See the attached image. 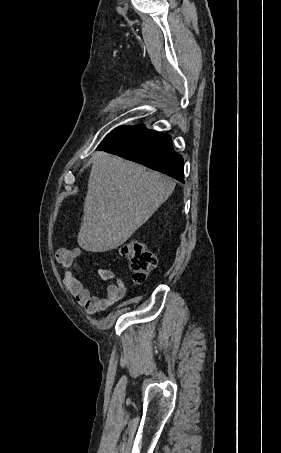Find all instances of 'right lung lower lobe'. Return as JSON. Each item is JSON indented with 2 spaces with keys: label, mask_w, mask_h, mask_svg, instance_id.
<instances>
[{
  "label": "right lung lower lobe",
  "mask_w": 281,
  "mask_h": 453,
  "mask_svg": "<svg viewBox=\"0 0 281 453\" xmlns=\"http://www.w3.org/2000/svg\"><path fill=\"white\" fill-rule=\"evenodd\" d=\"M97 150L143 164L184 182L183 158L174 151L171 137L149 130L143 124L114 129Z\"/></svg>",
  "instance_id": "98d812e1"
}]
</instances>
